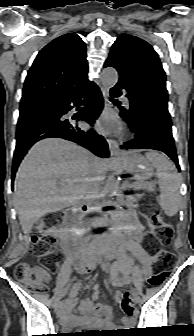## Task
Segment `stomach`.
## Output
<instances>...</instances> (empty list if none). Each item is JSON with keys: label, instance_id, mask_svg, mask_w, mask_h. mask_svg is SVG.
I'll return each mask as SVG.
<instances>
[{"label": "stomach", "instance_id": "obj_1", "mask_svg": "<svg viewBox=\"0 0 194 336\" xmlns=\"http://www.w3.org/2000/svg\"><path fill=\"white\" fill-rule=\"evenodd\" d=\"M121 160L127 172L134 174L138 180H147L152 177L153 166L143 156L136 152L125 153Z\"/></svg>", "mask_w": 194, "mask_h": 336}]
</instances>
